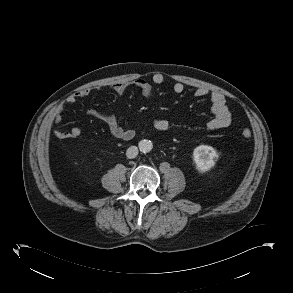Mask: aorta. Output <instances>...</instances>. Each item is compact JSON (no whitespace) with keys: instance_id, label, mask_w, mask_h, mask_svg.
Returning a JSON list of instances; mask_svg holds the SVG:
<instances>
[{"instance_id":"obj_1","label":"aorta","mask_w":293,"mask_h":293,"mask_svg":"<svg viewBox=\"0 0 293 293\" xmlns=\"http://www.w3.org/2000/svg\"><path fill=\"white\" fill-rule=\"evenodd\" d=\"M153 144L150 140L144 139L139 142V149L143 153H148L152 150Z\"/></svg>"}]
</instances>
